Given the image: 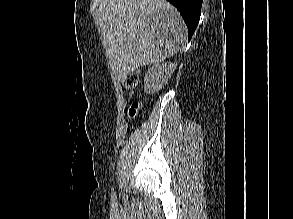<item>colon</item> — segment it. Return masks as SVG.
<instances>
[{
    "mask_svg": "<svg viewBox=\"0 0 293 219\" xmlns=\"http://www.w3.org/2000/svg\"><path fill=\"white\" fill-rule=\"evenodd\" d=\"M138 75L136 73H131L129 75L126 76V78L124 79V86L127 89H133L137 86L138 84ZM139 109V104L137 102L133 103L129 109V116L131 118H135L137 115Z\"/></svg>",
    "mask_w": 293,
    "mask_h": 219,
    "instance_id": "colon-1",
    "label": "colon"
}]
</instances>
